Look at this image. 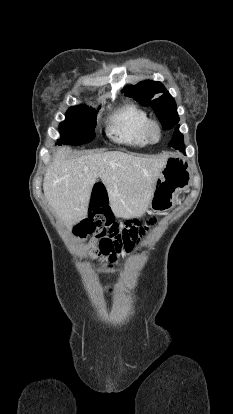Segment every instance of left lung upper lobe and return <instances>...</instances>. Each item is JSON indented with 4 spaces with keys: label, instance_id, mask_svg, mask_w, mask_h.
I'll return each mask as SVG.
<instances>
[{
    "label": "left lung upper lobe",
    "instance_id": "left-lung-upper-lobe-1",
    "mask_svg": "<svg viewBox=\"0 0 233 414\" xmlns=\"http://www.w3.org/2000/svg\"><path fill=\"white\" fill-rule=\"evenodd\" d=\"M123 92L143 106H152L164 129L169 130L179 122L175 100L161 82L143 81L124 87Z\"/></svg>",
    "mask_w": 233,
    "mask_h": 414
}]
</instances>
